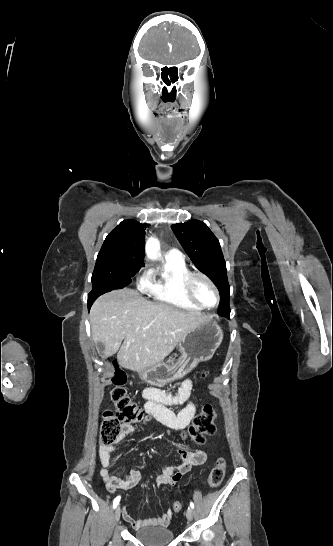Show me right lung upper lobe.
I'll return each instance as SVG.
<instances>
[{
    "label": "right lung upper lobe",
    "mask_w": 333,
    "mask_h": 546,
    "mask_svg": "<svg viewBox=\"0 0 333 546\" xmlns=\"http://www.w3.org/2000/svg\"><path fill=\"white\" fill-rule=\"evenodd\" d=\"M146 223L128 219L122 221L106 237L98 255H115L125 258L131 268L139 269L144 265Z\"/></svg>",
    "instance_id": "cb5924a9"
}]
</instances>
